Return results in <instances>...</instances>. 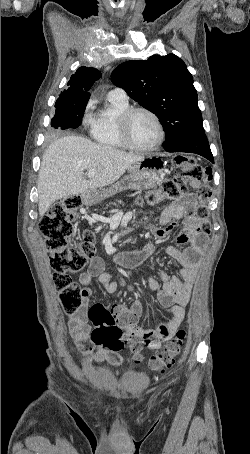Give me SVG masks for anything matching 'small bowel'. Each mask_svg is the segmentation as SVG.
<instances>
[{
	"instance_id": "1",
	"label": "small bowel",
	"mask_w": 250,
	"mask_h": 454,
	"mask_svg": "<svg viewBox=\"0 0 250 454\" xmlns=\"http://www.w3.org/2000/svg\"><path fill=\"white\" fill-rule=\"evenodd\" d=\"M192 184L194 187L198 186L196 181ZM194 206L193 194L183 195L163 210L159 220L161 227L154 229L155 237L161 239L171 232L178 220L184 219L185 228L178 235L177 243L188 244V246L183 250L176 247L166 248V252L179 264L181 278L170 277L164 271H160L161 287L153 277L148 278V284L152 290L157 292L160 304L170 308L172 313V319L163 323L157 330L137 328L142 342L151 350L159 349L164 342L170 340L186 317V306L200 267L201 256L207 246V236L199 230V221L193 215ZM154 249L155 243L150 242L142 250L118 255L116 259L122 264H135L152 254ZM95 279H98L110 293L117 291L119 287L117 282L111 281L103 260L100 257H93L87 271L82 273L79 278L83 286L81 290L83 304L77 312L71 315L69 320L74 347L83 348L90 361H107L113 365H119L122 358L118 353L96 345L91 340L87 308L93 301L90 285ZM128 288L129 290L133 289L132 286ZM142 310L140 301H135L130 307L115 305L111 308V312L117 317L129 314L135 320L141 316Z\"/></svg>"
}]
</instances>
